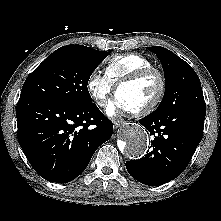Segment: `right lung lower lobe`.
I'll return each mask as SVG.
<instances>
[{"label": "right lung lower lobe", "mask_w": 221, "mask_h": 221, "mask_svg": "<svg viewBox=\"0 0 221 221\" xmlns=\"http://www.w3.org/2000/svg\"><path fill=\"white\" fill-rule=\"evenodd\" d=\"M16 117L18 141L31 166L56 183L79 176L113 133L112 122L94 103L70 106L20 98Z\"/></svg>", "instance_id": "1"}]
</instances>
